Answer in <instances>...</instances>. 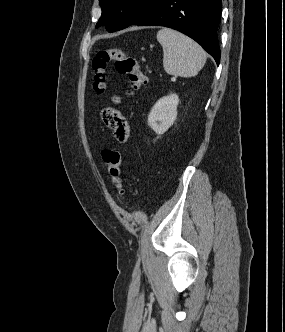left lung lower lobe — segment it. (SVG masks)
Masks as SVG:
<instances>
[{
	"label": "left lung lower lobe",
	"mask_w": 285,
	"mask_h": 332,
	"mask_svg": "<svg viewBox=\"0 0 285 332\" xmlns=\"http://www.w3.org/2000/svg\"><path fill=\"white\" fill-rule=\"evenodd\" d=\"M221 0H155L131 25H157L178 30L197 41L219 65L217 29Z\"/></svg>",
	"instance_id": "1"
}]
</instances>
